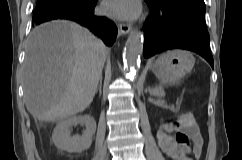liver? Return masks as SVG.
Listing matches in <instances>:
<instances>
[{
    "label": "liver",
    "instance_id": "liver-1",
    "mask_svg": "<svg viewBox=\"0 0 242 160\" xmlns=\"http://www.w3.org/2000/svg\"><path fill=\"white\" fill-rule=\"evenodd\" d=\"M108 55L106 45L70 21L46 23L28 40L24 98L35 120L61 122L93 101Z\"/></svg>",
    "mask_w": 242,
    "mask_h": 160
}]
</instances>
